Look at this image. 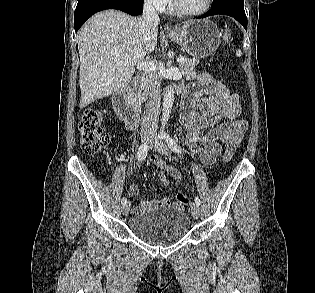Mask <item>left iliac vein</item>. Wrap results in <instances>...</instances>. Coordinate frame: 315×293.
Listing matches in <instances>:
<instances>
[{
    "label": "left iliac vein",
    "mask_w": 315,
    "mask_h": 293,
    "mask_svg": "<svg viewBox=\"0 0 315 293\" xmlns=\"http://www.w3.org/2000/svg\"><path fill=\"white\" fill-rule=\"evenodd\" d=\"M151 148L159 152L160 154L167 156L169 155V147L158 137H154L151 142ZM192 215L194 217H199L200 207L196 202H193L191 205Z\"/></svg>",
    "instance_id": "1"
}]
</instances>
